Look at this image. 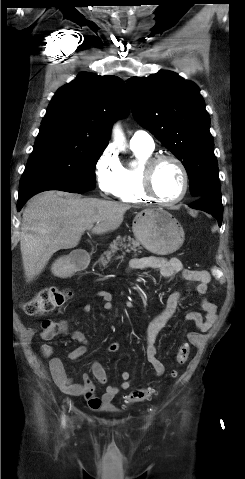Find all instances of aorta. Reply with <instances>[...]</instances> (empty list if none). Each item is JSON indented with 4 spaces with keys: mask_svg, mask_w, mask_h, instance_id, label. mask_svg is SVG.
I'll use <instances>...</instances> for the list:
<instances>
[{
    "mask_svg": "<svg viewBox=\"0 0 245 479\" xmlns=\"http://www.w3.org/2000/svg\"><path fill=\"white\" fill-rule=\"evenodd\" d=\"M114 140L121 150H125V146L123 144L124 136L119 126H116L114 129Z\"/></svg>",
    "mask_w": 245,
    "mask_h": 479,
    "instance_id": "aorta-1",
    "label": "aorta"
}]
</instances>
